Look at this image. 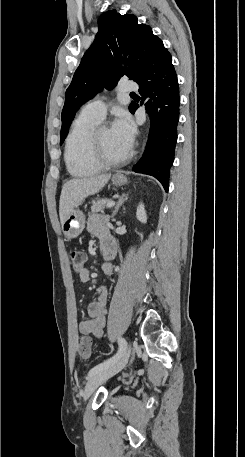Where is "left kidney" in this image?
I'll use <instances>...</instances> for the list:
<instances>
[{
	"mask_svg": "<svg viewBox=\"0 0 245 457\" xmlns=\"http://www.w3.org/2000/svg\"><path fill=\"white\" fill-rule=\"evenodd\" d=\"M136 216L138 220H140V222H147V214L143 202H140V204H138Z\"/></svg>",
	"mask_w": 245,
	"mask_h": 457,
	"instance_id": "1",
	"label": "left kidney"
}]
</instances>
